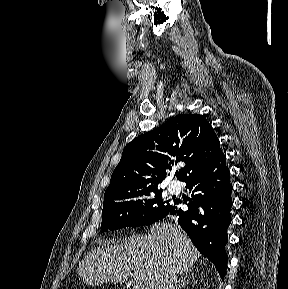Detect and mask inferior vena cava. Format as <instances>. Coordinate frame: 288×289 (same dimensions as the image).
Listing matches in <instances>:
<instances>
[{"label":"inferior vena cava","mask_w":288,"mask_h":289,"mask_svg":"<svg viewBox=\"0 0 288 289\" xmlns=\"http://www.w3.org/2000/svg\"><path fill=\"white\" fill-rule=\"evenodd\" d=\"M177 284V273L173 270L165 274V278L161 283L160 289H175Z\"/></svg>","instance_id":"602c4592"}]
</instances>
